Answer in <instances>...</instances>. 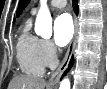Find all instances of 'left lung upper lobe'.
I'll use <instances>...</instances> for the list:
<instances>
[{"instance_id": "left-lung-upper-lobe-1", "label": "left lung upper lobe", "mask_w": 107, "mask_h": 89, "mask_svg": "<svg viewBox=\"0 0 107 89\" xmlns=\"http://www.w3.org/2000/svg\"><path fill=\"white\" fill-rule=\"evenodd\" d=\"M29 0H20L19 7L17 11V16L22 12V10L27 6Z\"/></svg>"}]
</instances>
